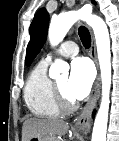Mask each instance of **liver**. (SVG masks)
<instances>
[{
	"instance_id": "obj_1",
	"label": "liver",
	"mask_w": 119,
	"mask_h": 141,
	"mask_svg": "<svg viewBox=\"0 0 119 141\" xmlns=\"http://www.w3.org/2000/svg\"><path fill=\"white\" fill-rule=\"evenodd\" d=\"M69 129L67 122L56 119L30 118L23 123L22 141H28L34 136L65 135Z\"/></svg>"
}]
</instances>
